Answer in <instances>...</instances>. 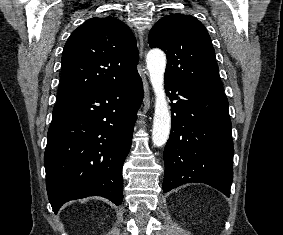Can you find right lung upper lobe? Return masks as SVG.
Listing matches in <instances>:
<instances>
[{
	"label": "right lung upper lobe",
	"mask_w": 283,
	"mask_h": 235,
	"mask_svg": "<svg viewBox=\"0 0 283 235\" xmlns=\"http://www.w3.org/2000/svg\"><path fill=\"white\" fill-rule=\"evenodd\" d=\"M138 49L129 27L113 16L91 18L68 38L57 102L126 80L137 72Z\"/></svg>",
	"instance_id": "1"
}]
</instances>
